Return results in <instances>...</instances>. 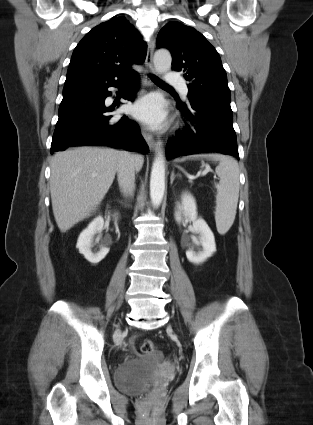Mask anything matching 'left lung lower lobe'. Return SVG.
I'll return each mask as SVG.
<instances>
[{
	"label": "left lung lower lobe",
	"instance_id": "obj_1",
	"mask_svg": "<svg viewBox=\"0 0 313 425\" xmlns=\"http://www.w3.org/2000/svg\"><path fill=\"white\" fill-rule=\"evenodd\" d=\"M177 108L190 123L169 139L166 147L168 159L197 153H221L239 159L233 113L230 102L220 99H190L189 104L178 101Z\"/></svg>",
	"mask_w": 313,
	"mask_h": 425
}]
</instances>
